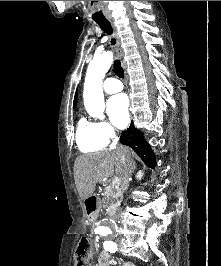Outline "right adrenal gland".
Wrapping results in <instances>:
<instances>
[{"label":"right adrenal gland","mask_w":221,"mask_h":266,"mask_svg":"<svg viewBox=\"0 0 221 266\" xmlns=\"http://www.w3.org/2000/svg\"><path fill=\"white\" fill-rule=\"evenodd\" d=\"M134 170H136V166H135V165H134V167H133V171H134Z\"/></svg>","instance_id":"2a0ac1e0"}]
</instances>
